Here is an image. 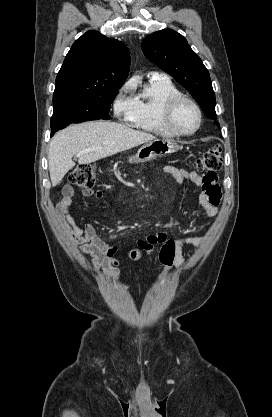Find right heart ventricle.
Returning <instances> with one entry per match:
<instances>
[{
  "mask_svg": "<svg viewBox=\"0 0 272 417\" xmlns=\"http://www.w3.org/2000/svg\"><path fill=\"white\" fill-rule=\"evenodd\" d=\"M176 94H180V91L170 79L150 77L133 98L134 111L129 124L162 137H173L164 127L161 114L166 100Z\"/></svg>",
  "mask_w": 272,
  "mask_h": 417,
  "instance_id": "obj_1",
  "label": "right heart ventricle"
}]
</instances>
